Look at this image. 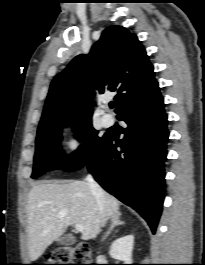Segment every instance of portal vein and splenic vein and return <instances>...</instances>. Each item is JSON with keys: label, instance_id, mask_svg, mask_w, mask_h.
Here are the masks:
<instances>
[{"label": "portal vein and splenic vein", "instance_id": "18ae733b", "mask_svg": "<svg viewBox=\"0 0 205 265\" xmlns=\"http://www.w3.org/2000/svg\"><path fill=\"white\" fill-rule=\"evenodd\" d=\"M75 230L76 231H83V226L81 224H76L75 225Z\"/></svg>", "mask_w": 205, "mask_h": 265}]
</instances>
